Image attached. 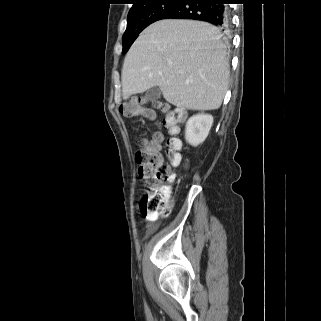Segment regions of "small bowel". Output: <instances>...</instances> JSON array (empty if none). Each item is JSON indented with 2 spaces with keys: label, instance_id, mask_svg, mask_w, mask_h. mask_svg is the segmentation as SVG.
Returning <instances> with one entry per match:
<instances>
[{
  "label": "small bowel",
  "instance_id": "obj_1",
  "mask_svg": "<svg viewBox=\"0 0 321 321\" xmlns=\"http://www.w3.org/2000/svg\"><path fill=\"white\" fill-rule=\"evenodd\" d=\"M158 149H160V146L158 145ZM170 181H174L175 180V175L172 174L170 175L169 177ZM148 221H151V222H154L157 220V217H150V218H146ZM149 229L151 230L152 229V226H149Z\"/></svg>",
  "mask_w": 321,
  "mask_h": 321
}]
</instances>
